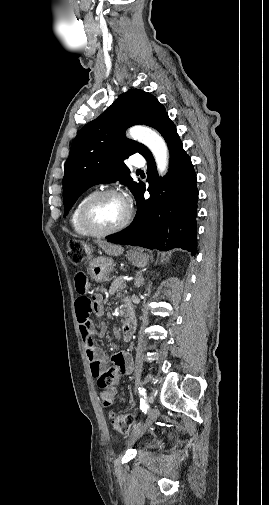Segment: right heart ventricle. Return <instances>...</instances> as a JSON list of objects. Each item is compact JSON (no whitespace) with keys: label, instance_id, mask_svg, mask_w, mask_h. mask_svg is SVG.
Instances as JSON below:
<instances>
[{"label":"right heart ventricle","instance_id":"e07e8e85","mask_svg":"<svg viewBox=\"0 0 269 505\" xmlns=\"http://www.w3.org/2000/svg\"><path fill=\"white\" fill-rule=\"evenodd\" d=\"M92 194H87L85 196H83L77 203L76 205L74 206V208L72 209L71 211V214H70V225H71V228L72 230L79 236H83V237H88V236H92L88 231H86L83 226L81 225L80 223V220H79V213H80V209L83 205V203L89 198V196H91Z\"/></svg>","mask_w":269,"mask_h":505}]
</instances>
